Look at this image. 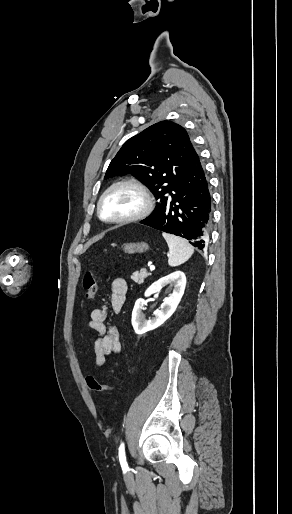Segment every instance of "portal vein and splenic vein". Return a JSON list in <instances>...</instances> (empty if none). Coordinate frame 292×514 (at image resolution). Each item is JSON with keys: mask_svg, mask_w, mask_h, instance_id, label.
Instances as JSON below:
<instances>
[{"mask_svg": "<svg viewBox=\"0 0 292 514\" xmlns=\"http://www.w3.org/2000/svg\"><path fill=\"white\" fill-rule=\"evenodd\" d=\"M150 270H155V266H150Z\"/></svg>", "mask_w": 292, "mask_h": 514, "instance_id": "1", "label": "portal vein and splenic vein"}]
</instances>
